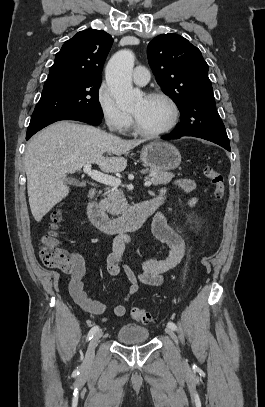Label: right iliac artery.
<instances>
[{"label":"right iliac artery","instance_id":"82829eb1","mask_svg":"<svg viewBox=\"0 0 265 407\" xmlns=\"http://www.w3.org/2000/svg\"><path fill=\"white\" fill-rule=\"evenodd\" d=\"M97 331H99L98 326L92 327L87 335V340H90Z\"/></svg>","mask_w":265,"mask_h":407}]
</instances>
